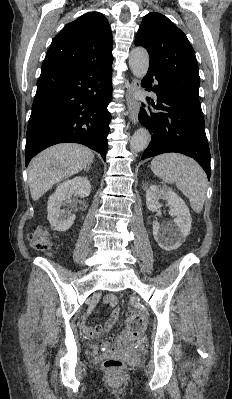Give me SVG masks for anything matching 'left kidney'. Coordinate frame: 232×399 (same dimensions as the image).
I'll return each instance as SVG.
<instances>
[{"instance_id":"obj_1","label":"left kidney","mask_w":232,"mask_h":399,"mask_svg":"<svg viewBox=\"0 0 232 399\" xmlns=\"http://www.w3.org/2000/svg\"><path fill=\"white\" fill-rule=\"evenodd\" d=\"M158 200L167 201L171 215H175L173 221H164L159 223L158 219H154L153 235L155 241L162 249H177L182 245L186 235L190 233L192 217L189 207L185 201L179 198L171 188L167 186H147L146 188V205L150 211H158L161 203Z\"/></svg>"}]
</instances>
